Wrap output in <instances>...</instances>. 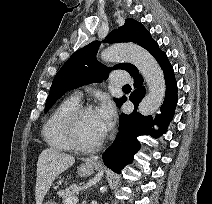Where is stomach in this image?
<instances>
[{"label":"stomach","mask_w":212,"mask_h":204,"mask_svg":"<svg viewBox=\"0 0 212 204\" xmlns=\"http://www.w3.org/2000/svg\"><path fill=\"white\" fill-rule=\"evenodd\" d=\"M93 172H94V165L88 163L80 165L77 169L78 175L84 177L92 175ZM44 204H56V203L54 201H46Z\"/></svg>","instance_id":"obj_1"}]
</instances>
